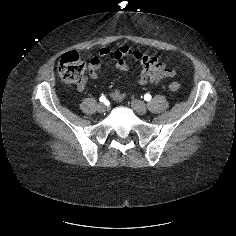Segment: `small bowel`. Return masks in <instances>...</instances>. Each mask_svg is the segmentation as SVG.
Listing matches in <instances>:
<instances>
[{
    "mask_svg": "<svg viewBox=\"0 0 236 236\" xmlns=\"http://www.w3.org/2000/svg\"><path fill=\"white\" fill-rule=\"evenodd\" d=\"M111 54H113L114 58L117 60L115 68L118 71H126L130 68L128 63L123 60L124 57H128L140 64L141 67L136 80V84L139 86L158 84L161 80L172 78L175 75L173 68L162 63L157 57L149 55L144 50L121 46L113 52L108 48H103L98 56L91 59L89 63V74L91 78H98V72L102 67L103 59ZM77 88L80 91L83 90L85 83L79 85ZM111 96L115 100H120L123 97L119 91H114Z\"/></svg>",
    "mask_w": 236,
    "mask_h": 236,
    "instance_id": "small-bowel-1",
    "label": "small bowel"
}]
</instances>
